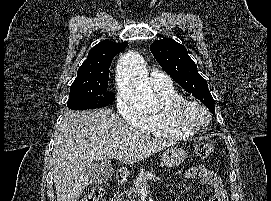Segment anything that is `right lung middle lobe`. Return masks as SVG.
<instances>
[{"mask_svg":"<svg viewBox=\"0 0 271 201\" xmlns=\"http://www.w3.org/2000/svg\"><path fill=\"white\" fill-rule=\"evenodd\" d=\"M109 74L78 77L70 87L67 106L73 110L96 109L109 105L115 95L107 90Z\"/></svg>","mask_w":271,"mask_h":201,"instance_id":"right-lung-middle-lobe-1","label":"right lung middle lobe"}]
</instances>
